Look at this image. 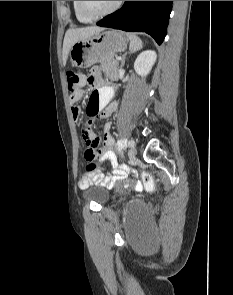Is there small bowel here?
<instances>
[{"mask_svg":"<svg viewBox=\"0 0 233 295\" xmlns=\"http://www.w3.org/2000/svg\"><path fill=\"white\" fill-rule=\"evenodd\" d=\"M86 80L96 88L89 98L87 113L90 116H95L98 120L106 121L103 125L101 134V157L103 162L110 163L112 173L105 175L101 169H96L83 175L78 181V186L81 189H86L91 185H109L125 177V172L118 166L117 159L112 152L114 140L110 133L111 123L107 121L117 108V104L110 101L114 89L112 87L101 86L99 72L96 69L89 72ZM82 96L83 92L71 97L70 100L72 103H76L82 98ZM71 112L75 120H78L83 114V110L79 106H73Z\"/></svg>","mask_w":233,"mask_h":295,"instance_id":"c3829d8e","label":"small bowel"}]
</instances>
